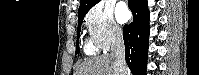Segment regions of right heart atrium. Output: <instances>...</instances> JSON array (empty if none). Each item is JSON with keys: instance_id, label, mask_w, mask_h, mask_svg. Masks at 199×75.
<instances>
[{"instance_id": "d8ad5b80", "label": "right heart atrium", "mask_w": 199, "mask_h": 75, "mask_svg": "<svg viewBox=\"0 0 199 75\" xmlns=\"http://www.w3.org/2000/svg\"><path fill=\"white\" fill-rule=\"evenodd\" d=\"M85 25L92 43L99 49L107 50L122 39V30L112 12L103 6L90 10Z\"/></svg>"}]
</instances>
